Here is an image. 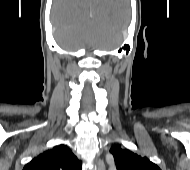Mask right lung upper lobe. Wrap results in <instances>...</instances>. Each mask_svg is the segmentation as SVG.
Segmentation results:
<instances>
[{
  "label": "right lung upper lobe",
  "mask_w": 190,
  "mask_h": 170,
  "mask_svg": "<svg viewBox=\"0 0 190 170\" xmlns=\"http://www.w3.org/2000/svg\"><path fill=\"white\" fill-rule=\"evenodd\" d=\"M81 164L67 146L58 145L35 157L23 170H81Z\"/></svg>",
  "instance_id": "obj_1"
}]
</instances>
